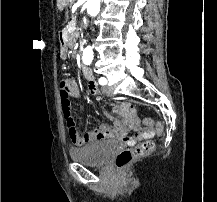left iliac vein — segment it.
<instances>
[{
  "instance_id": "obj_1",
  "label": "left iliac vein",
  "mask_w": 217,
  "mask_h": 202,
  "mask_svg": "<svg viewBox=\"0 0 217 202\" xmlns=\"http://www.w3.org/2000/svg\"><path fill=\"white\" fill-rule=\"evenodd\" d=\"M103 93L105 94V95H107V96H112V90H111V88L109 87V86H105V87H103Z\"/></svg>"
}]
</instances>
